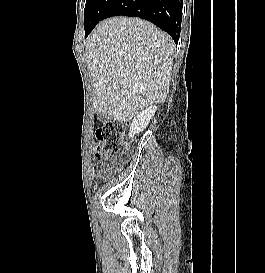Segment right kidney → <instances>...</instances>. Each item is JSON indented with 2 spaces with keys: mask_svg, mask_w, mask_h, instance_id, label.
<instances>
[{
  "mask_svg": "<svg viewBox=\"0 0 265 273\" xmlns=\"http://www.w3.org/2000/svg\"><path fill=\"white\" fill-rule=\"evenodd\" d=\"M156 109V106L151 105L134 117L130 125L129 137H134L135 134H138L147 127L148 123L154 116Z\"/></svg>",
  "mask_w": 265,
  "mask_h": 273,
  "instance_id": "right-kidney-1",
  "label": "right kidney"
}]
</instances>
